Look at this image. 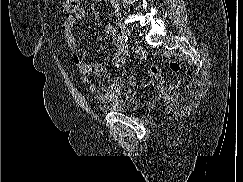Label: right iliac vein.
Instances as JSON below:
<instances>
[{"instance_id": "right-iliac-vein-1", "label": "right iliac vein", "mask_w": 243, "mask_h": 182, "mask_svg": "<svg viewBox=\"0 0 243 182\" xmlns=\"http://www.w3.org/2000/svg\"><path fill=\"white\" fill-rule=\"evenodd\" d=\"M119 27H120L121 33L123 35H126V36H130L131 35V30L129 29V27L126 24L120 22L119 23Z\"/></svg>"}]
</instances>
